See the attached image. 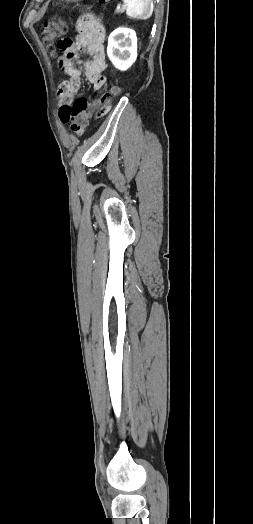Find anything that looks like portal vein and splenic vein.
Segmentation results:
<instances>
[{
    "instance_id": "18ae733b",
    "label": "portal vein and splenic vein",
    "mask_w": 253,
    "mask_h": 524,
    "mask_svg": "<svg viewBox=\"0 0 253 524\" xmlns=\"http://www.w3.org/2000/svg\"><path fill=\"white\" fill-rule=\"evenodd\" d=\"M125 8H126V6L123 5V6L121 7V11H124Z\"/></svg>"
}]
</instances>
